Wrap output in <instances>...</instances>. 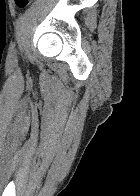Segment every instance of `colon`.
I'll return each instance as SVG.
<instances>
[{"mask_svg": "<svg viewBox=\"0 0 140 196\" xmlns=\"http://www.w3.org/2000/svg\"><path fill=\"white\" fill-rule=\"evenodd\" d=\"M15 2L17 3V5H22L26 2H28V0H15Z\"/></svg>", "mask_w": 140, "mask_h": 196, "instance_id": "obj_1", "label": "colon"}]
</instances>
